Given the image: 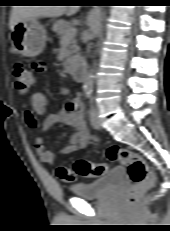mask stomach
Returning a JSON list of instances; mask_svg holds the SVG:
<instances>
[{
	"mask_svg": "<svg viewBox=\"0 0 170 231\" xmlns=\"http://www.w3.org/2000/svg\"><path fill=\"white\" fill-rule=\"evenodd\" d=\"M46 30L37 18L25 19L12 30V42L15 50L25 57H35L45 48Z\"/></svg>",
	"mask_w": 170,
	"mask_h": 231,
	"instance_id": "1",
	"label": "stomach"
}]
</instances>
